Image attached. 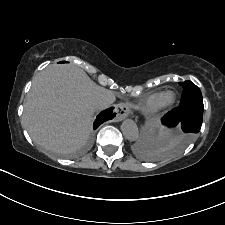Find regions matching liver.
I'll list each match as a JSON object with an SVG mask.
<instances>
[{
  "label": "liver",
  "instance_id": "6515ba94",
  "mask_svg": "<svg viewBox=\"0 0 225 225\" xmlns=\"http://www.w3.org/2000/svg\"><path fill=\"white\" fill-rule=\"evenodd\" d=\"M115 101L112 91L95 84L73 64L49 65L34 78L22 123L32 140L67 154L87 141L98 102Z\"/></svg>",
  "mask_w": 225,
  "mask_h": 225
}]
</instances>
